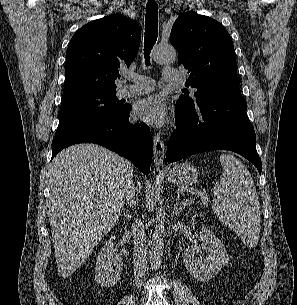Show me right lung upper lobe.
<instances>
[{"instance_id": "obj_1", "label": "right lung upper lobe", "mask_w": 297, "mask_h": 305, "mask_svg": "<svg viewBox=\"0 0 297 305\" xmlns=\"http://www.w3.org/2000/svg\"><path fill=\"white\" fill-rule=\"evenodd\" d=\"M141 38L137 21L122 15L89 22L72 37L67 53L62 101L115 91V79L135 59Z\"/></svg>"}]
</instances>
